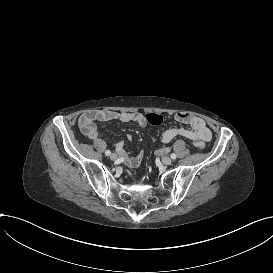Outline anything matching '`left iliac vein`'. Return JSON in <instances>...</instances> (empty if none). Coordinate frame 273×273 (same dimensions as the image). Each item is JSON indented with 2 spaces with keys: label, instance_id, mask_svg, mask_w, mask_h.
<instances>
[{
  "label": "left iliac vein",
  "instance_id": "1",
  "mask_svg": "<svg viewBox=\"0 0 273 273\" xmlns=\"http://www.w3.org/2000/svg\"><path fill=\"white\" fill-rule=\"evenodd\" d=\"M162 163L164 164V165H170L171 163H172V160H171V158L170 157H164L163 159H162Z\"/></svg>",
  "mask_w": 273,
  "mask_h": 273
}]
</instances>
